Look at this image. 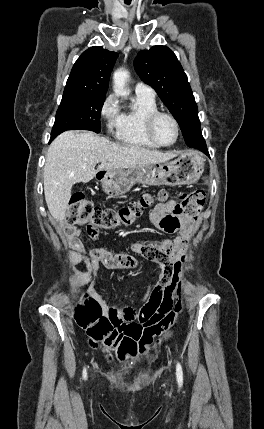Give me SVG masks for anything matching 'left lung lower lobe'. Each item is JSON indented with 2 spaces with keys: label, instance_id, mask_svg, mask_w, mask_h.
<instances>
[{
  "label": "left lung lower lobe",
  "instance_id": "obj_1",
  "mask_svg": "<svg viewBox=\"0 0 264 429\" xmlns=\"http://www.w3.org/2000/svg\"><path fill=\"white\" fill-rule=\"evenodd\" d=\"M196 149H199L200 151L207 153L206 148H196Z\"/></svg>",
  "mask_w": 264,
  "mask_h": 429
}]
</instances>
